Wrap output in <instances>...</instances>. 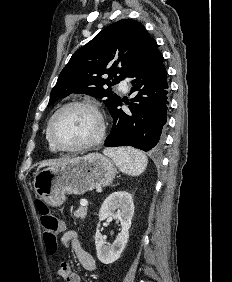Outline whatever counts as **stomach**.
Returning a JSON list of instances; mask_svg holds the SVG:
<instances>
[{
	"label": "stomach",
	"mask_w": 232,
	"mask_h": 282,
	"mask_svg": "<svg viewBox=\"0 0 232 282\" xmlns=\"http://www.w3.org/2000/svg\"><path fill=\"white\" fill-rule=\"evenodd\" d=\"M116 174L114 162L100 153H90L49 166L39 171L33 181L36 194L46 204L59 206L66 194L83 195L108 186Z\"/></svg>",
	"instance_id": "stomach-1"
}]
</instances>
